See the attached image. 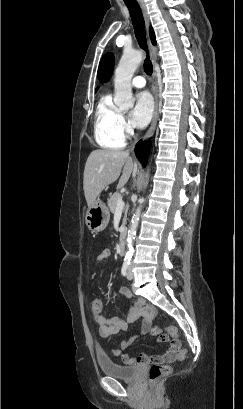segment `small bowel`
Returning <instances> with one entry per match:
<instances>
[{
	"instance_id": "1",
	"label": "small bowel",
	"mask_w": 243,
	"mask_h": 409,
	"mask_svg": "<svg viewBox=\"0 0 243 409\" xmlns=\"http://www.w3.org/2000/svg\"><path fill=\"white\" fill-rule=\"evenodd\" d=\"M110 259V251L108 249H100L97 254V260L100 263H106ZM120 294L128 298H132L133 294L131 290L127 287L120 289ZM156 316V309L153 305L147 303L141 298L134 300L133 305L130 309V314L127 319L124 320L117 315L109 314L108 316L103 315L101 312L93 313V320L98 326V331L101 337L110 340L116 333L127 329L128 324L134 322L140 318H143L142 327L140 330L141 335H146L151 329V325ZM138 336H130L123 339L120 343V348L111 346L109 347V352L116 357H119L124 363L132 364H144L150 361L154 362H174L177 360L180 351V341L172 340L168 336H163L159 341L161 344H169V348L162 355H157L155 357H150L146 354L139 355L137 358L130 356L128 353L122 352V350L127 349Z\"/></svg>"
}]
</instances>
